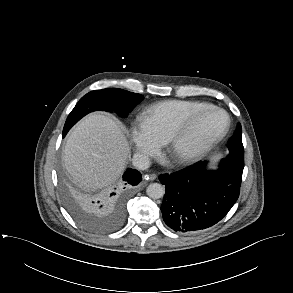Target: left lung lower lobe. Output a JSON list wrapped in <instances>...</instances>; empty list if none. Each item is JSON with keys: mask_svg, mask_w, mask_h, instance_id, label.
I'll list each match as a JSON object with an SVG mask.
<instances>
[{"mask_svg": "<svg viewBox=\"0 0 293 293\" xmlns=\"http://www.w3.org/2000/svg\"><path fill=\"white\" fill-rule=\"evenodd\" d=\"M200 161L179 172L161 174L166 187L161 211L174 231L193 233L219 222L237 201L243 169L222 160L217 169Z\"/></svg>", "mask_w": 293, "mask_h": 293, "instance_id": "left-lung-lower-lobe-1", "label": "left lung lower lobe"}]
</instances>
